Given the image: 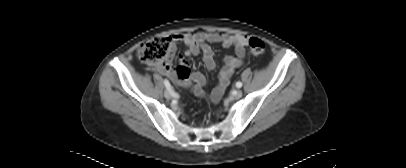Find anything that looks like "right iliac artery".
Listing matches in <instances>:
<instances>
[{
    "label": "right iliac artery",
    "instance_id": "82829eb1",
    "mask_svg": "<svg viewBox=\"0 0 406 168\" xmlns=\"http://www.w3.org/2000/svg\"><path fill=\"white\" fill-rule=\"evenodd\" d=\"M164 84H165V87L167 88V90H169L171 94L175 95V93L172 90V87L167 79L164 80Z\"/></svg>",
    "mask_w": 406,
    "mask_h": 168
}]
</instances>
